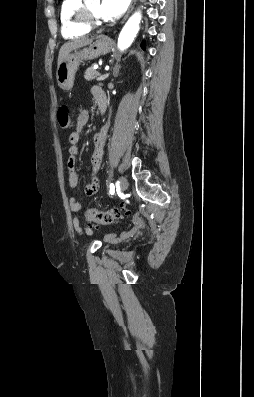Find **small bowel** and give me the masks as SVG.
<instances>
[{
	"label": "small bowel",
	"instance_id": "small-bowel-1",
	"mask_svg": "<svg viewBox=\"0 0 254 397\" xmlns=\"http://www.w3.org/2000/svg\"><path fill=\"white\" fill-rule=\"evenodd\" d=\"M92 94L94 96L95 101L98 103V99L105 95L103 90L95 86L92 88ZM89 121V112L87 110H82L77 117L76 120V128L72 131L69 135V159L67 162L68 168V181L69 185L72 189H76L79 183L78 174L76 171L77 165V157L79 154L78 143L80 141V136L82 129ZM109 128V122H106L101 130L94 134L93 141H94V151L91 157V176L89 181L86 183L84 188V193L86 196H93L99 189L100 180H99V171L103 159L104 149L107 143V131ZM69 205L72 212H80L84 205L81 201H79L76 197L72 196L69 198ZM73 227L78 234H92V229L86 227L78 217L73 219ZM135 229L131 228L124 231L121 234L122 238H127L134 233ZM108 240L114 241L117 240V236L115 234H110Z\"/></svg>",
	"mask_w": 254,
	"mask_h": 397
}]
</instances>
